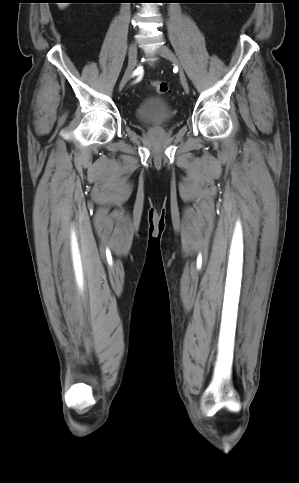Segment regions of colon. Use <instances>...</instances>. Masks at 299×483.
<instances>
[{
	"instance_id": "colon-1",
	"label": "colon",
	"mask_w": 299,
	"mask_h": 483,
	"mask_svg": "<svg viewBox=\"0 0 299 483\" xmlns=\"http://www.w3.org/2000/svg\"><path fill=\"white\" fill-rule=\"evenodd\" d=\"M149 86L158 94H165L169 91V83L163 80H153Z\"/></svg>"
}]
</instances>
